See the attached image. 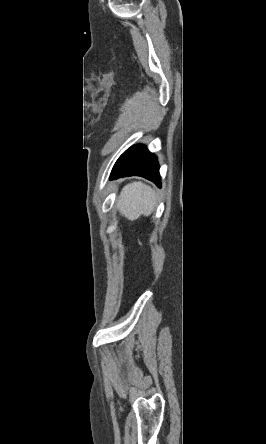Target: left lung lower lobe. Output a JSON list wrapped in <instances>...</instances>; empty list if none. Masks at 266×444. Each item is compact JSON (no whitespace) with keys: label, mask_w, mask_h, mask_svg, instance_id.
<instances>
[{"label":"left lung lower lobe","mask_w":266,"mask_h":444,"mask_svg":"<svg viewBox=\"0 0 266 444\" xmlns=\"http://www.w3.org/2000/svg\"><path fill=\"white\" fill-rule=\"evenodd\" d=\"M133 175L142 176L161 187L156 156L143 145L132 146L120 156L112 169L111 179Z\"/></svg>","instance_id":"1"}]
</instances>
